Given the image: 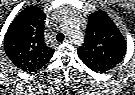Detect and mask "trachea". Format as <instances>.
Listing matches in <instances>:
<instances>
[{
  "label": "trachea",
  "mask_w": 135,
  "mask_h": 95,
  "mask_svg": "<svg viewBox=\"0 0 135 95\" xmlns=\"http://www.w3.org/2000/svg\"><path fill=\"white\" fill-rule=\"evenodd\" d=\"M64 38H65V36H64V34H62V33H59V34H57V36H56V40H57L58 42H62V41L64 40Z\"/></svg>",
  "instance_id": "3493384b"
}]
</instances>
